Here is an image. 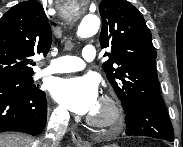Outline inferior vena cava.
<instances>
[{
	"mask_svg": "<svg viewBox=\"0 0 183 147\" xmlns=\"http://www.w3.org/2000/svg\"><path fill=\"white\" fill-rule=\"evenodd\" d=\"M69 113L65 109L55 112L48 123L45 136L34 143V147H58L59 141L65 135Z\"/></svg>",
	"mask_w": 183,
	"mask_h": 147,
	"instance_id": "1",
	"label": "inferior vena cava"
}]
</instances>
